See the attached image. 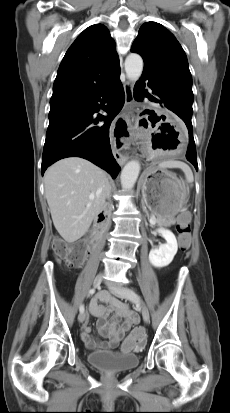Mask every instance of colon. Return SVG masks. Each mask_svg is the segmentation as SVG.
<instances>
[{
	"label": "colon",
	"instance_id": "1",
	"mask_svg": "<svg viewBox=\"0 0 230 413\" xmlns=\"http://www.w3.org/2000/svg\"><path fill=\"white\" fill-rule=\"evenodd\" d=\"M176 229L179 234L178 243L181 244V250L187 251L191 246V241L189 240L190 228L186 215L179 219ZM52 250L67 268H72L85 257L87 247L83 242L67 244L62 240H55L52 244ZM127 340L132 347L140 348L144 342L142 329L135 328Z\"/></svg>",
	"mask_w": 230,
	"mask_h": 413
}]
</instances>
